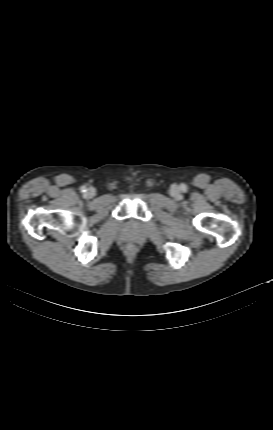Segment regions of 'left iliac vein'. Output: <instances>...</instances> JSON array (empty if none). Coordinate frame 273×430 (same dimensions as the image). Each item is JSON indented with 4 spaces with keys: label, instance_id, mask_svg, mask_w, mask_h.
Instances as JSON below:
<instances>
[{
    "label": "left iliac vein",
    "instance_id": "4c4485c4",
    "mask_svg": "<svg viewBox=\"0 0 273 430\" xmlns=\"http://www.w3.org/2000/svg\"><path fill=\"white\" fill-rule=\"evenodd\" d=\"M173 193H176V190H175V189H173Z\"/></svg>",
    "mask_w": 273,
    "mask_h": 430
}]
</instances>
